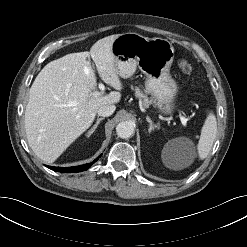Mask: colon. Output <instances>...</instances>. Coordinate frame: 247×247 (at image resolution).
Masks as SVG:
<instances>
[{"mask_svg":"<svg viewBox=\"0 0 247 247\" xmlns=\"http://www.w3.org/2000/svg\"><path fill=\"white\" fill-rule=\"evenodd\" d=\"M179 66H180L181 71L184 74H190L191 67H190V64L187 61H185V60L181 61Z\"/></svg>","mask_w":247,"mask_h":247,"instance_id":"colon-1","label":"colon"}]
</instances>
